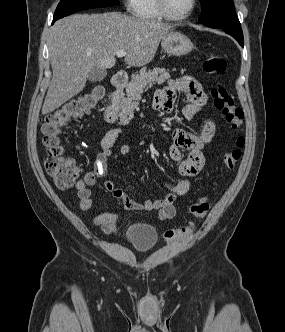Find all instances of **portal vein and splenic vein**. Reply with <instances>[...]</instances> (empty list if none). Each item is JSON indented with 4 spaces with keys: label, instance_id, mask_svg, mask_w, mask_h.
<instances>
[{
    "label": "portal vein and splenic vein",
    "instance_id": "portal-vein-and-splenic-vein-1",
    "mask_svg": "<svg viewBox=\"0 0 285 332\" xmlns=\"http://www.w3.org/2000/svg\"><path fill=\"white\" fill-rule=\"evenodd\" d=\"M126 54H127V52L124 50H118L116 52L117 57H124Z\"/></svg>",
    "mask_w": 285,
    "mask_h": 332
}]
</instances>
